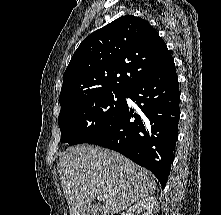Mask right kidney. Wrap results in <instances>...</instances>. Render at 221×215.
Returning <instances> with one entry per match:
<instances>
[{"label":"right kidney","instance_id":"ca27d5eb","mask_svg":"<svg viewBox=\"0 0 221 215\" xmlns=\"http://www.w3.org/2000/svg\"><path fill=\"white\" fill-rule=\"evenodd\" d=\"M155 204V198L148 196L130 207L126 215H151Z\"/></svg>","mask_w":221,"mask_h":215}]
</instances>
